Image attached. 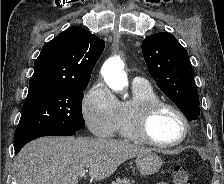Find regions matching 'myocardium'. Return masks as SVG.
Masks as SVG:
<instances>
[{"mask_svg":"<svg viewBox=\"0 0 224 184\" xmlns=\"http://www.w3.org/2000/svg\"><path fill=\"white\" fill-rule=\"evenodd\" d=\"M162 109L171 110L182 121L183 134L177 141L161 143L155 140L151 135V122L154 116ZM131 129L137 141L157 148L169 149L182 144L186 140L190 131V124L187 116L176 105L162 99H154L145 102L134 112L131 121Z\"/></svg>","mask_w":224,"mask_h":184,"instance_id":"f54148a6","label":"myocardium"}]
</instances>
